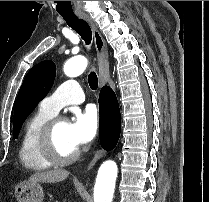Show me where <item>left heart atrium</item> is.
<instances>
[{
	"label": "left heart atrium",
	"instance_id": "39dd6f15",
	"mask_svg": "<svg viewBox=\"0 0 209 202\" xmlns=\"http://www.w3.org/2000/svg\"><path fill=\"white\" fill-rule=\"evenodd\" d=\"M67 125L71 141L79 148L96 135L98 128L97 109L90 105L83 111L78 110L74 114L72 121L68 122Z\"/></svg>",
	"mask_w": 209,
	"mask_h": 202
}]
</instances>
